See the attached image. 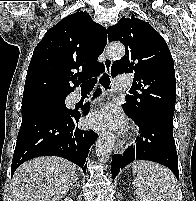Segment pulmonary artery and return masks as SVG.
Segmentation results:
<instances>
[{
    "label": "pulmonary artery",
    "mask_w": 196,
    "mask_h": 201,
    "mask_svg": "<svg viewBox=\"0 0 196 201\" xmlns=\"http://www.w3.org/2000/svg\"><path fill=\"white\" fill-rule=\"evenodd\" d=\"M129 86V80L127 77H119L113 81V87L115 89H127ZM81 99L80 94H75L73 96V102H78Z\"/></svg>",
    "instance_id": "obj_1"
}]
</instances>
